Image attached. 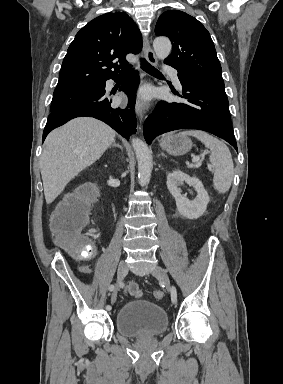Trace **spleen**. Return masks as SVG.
Segmentation results:
<instances>
[{"label":"spleen","mask_w":283,"mask_h":384,"mask_svg":"<svg viewBox=\"0 0 283 384\" xmlns=\"http://www.w3.org/2000/svg\"><path fill=\"white\" fill-rule=\"evenodd\" d=\"M179 136H194L204 144L205 148H209L211 152L209 160L214 176L213 186L218 194L228 192L234 176V164L226 144H223L217 138H213V136H209L206 132H200V130L180 132Z\"/></svg>","instance_id":"obj_1"}]
</instances>
